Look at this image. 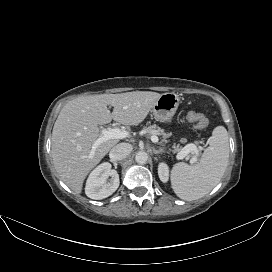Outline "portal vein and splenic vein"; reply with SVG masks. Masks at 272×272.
Wrapping results in <instances>:
<instances>
[{
  "label": "portal vein and splenic vein",
  "instance_id": "1",
  "mask_svg": "<svg viewBox=\"0 0 272 272\" xmlns=\"http://www.w3.org/2000/svg\"><path fill=\"white\" fill-rule=\"evenodd\" d=\"M101 137L94 143L92 149H96L98 145L103 143L106 140L110 139H123L128 137L129 133L127 131L120 130L119 128H113V129H103L101 131ZM151 141L153 143H158L159 138L156 135L151 136ZM191 151H194L192 158L190 159V163L193 164L197 161L199 150L194 144L187 145L182 151H180L176 158L178 160H181L185 158Z\"/></svg>",
  "mask_w": 272,
  "mask_h": 272
}]
</instances>
